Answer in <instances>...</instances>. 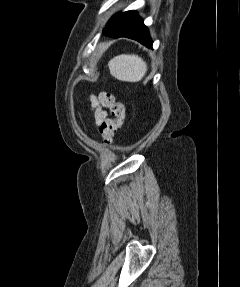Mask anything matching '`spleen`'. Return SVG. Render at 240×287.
Here are the masks:
<instances>
[{
    "label": "spleen",
    "instance_id": "1",
    "mask_svg": "<svg viewBox=\"0 0 240 287\" xmlns=\"http://www.w3.org/2000/svg\"><path fill=\"white\" fill-rule=\"evenodd\" d=\"M113 77L125 82H138L147 72V64L141 57L135 54H121L108 63Z\"/></svg>",
    "mask_w": 240,
    "mask_h": 287
}]
</instances>
